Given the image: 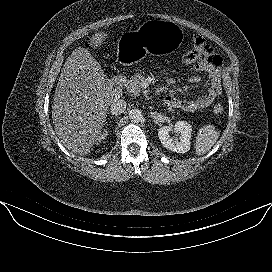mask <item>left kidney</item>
I'll return each mask as SVG.
<instances>
[{
    "label": "left kidney",
    "instance_id": "1",
    "mask_svg": "<svg viewBox=\"0 0 272 272\" xmlns=\"http://www.w3.org/2000/svg\"><path fill=\"white\" fill-rule=\"evenodd\" d=\"M174 131L177 134L176 138L170 136V132ZM192 126L185 121H178L171 126H163L158 129V137L161 144L176 153H186L191 145Z\"/></svg>",
    "mask_w": 272,
    "mask_h": 272
}]
</instances>
